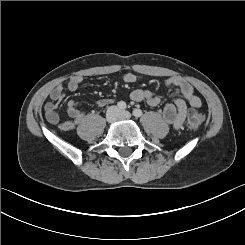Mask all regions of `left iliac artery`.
<instances>
[{
  "label": "left iliac artery",
  "instance_id": "left-iliac-artery-1",
  "mask_svg": "<svg viewBox=\"0 0 245 245\" xmlns=\"http://www.w3.org/2000/svg\"><path fill=\"white\" fill-rule=\"evenodd\" d=\"M142 114H143V112H142V110L141 109H139V108H136V109H134L133 110V115L135 116V117H140V116H142Z\"/></svg>",
  "mask_w": 245,
  "mask_h": 245
}]
</instances>
